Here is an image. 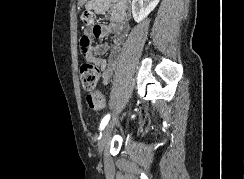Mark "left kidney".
<instances>
[{
  "mask_svg": "<svg viewBox=\"0 0 244 179\" xmlns=\"http://www.w3.org/2000/svg\"><path fill=\"white\" fill-rule=\"evenodd\" d=\"M159 2L160 0H132V16L135 22H142Z\"/></svg>",
  "mask_w": 244,
  "mask_h": 179,
  "instance_id": "obj_1",
  "label": "left kidney"
}]
</instances>
